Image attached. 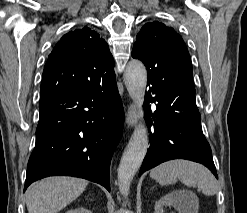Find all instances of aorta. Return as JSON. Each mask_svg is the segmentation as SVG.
Masks as SVG:
<instances>
[{
  "instance_id": "762f6f07",
  "label": "aorta",
  "mask_w": 247,
  "mask_h": 213,
  "mask_svg": "<svg viewBox=\"0 0 247 213\" xmlns=\"http://www.w3.org/2000/svg\"><path fill=\"white\" fill-rule=\"evenodd\" d=\"M124 81L129 96L140 112V122L129 140L118 168L119 190L123 196H127L131 181L148 149V131L142 120V105L147 84V71L143 63L139 60H131L126 67Z\"/></svg>"
}]
</instances>
